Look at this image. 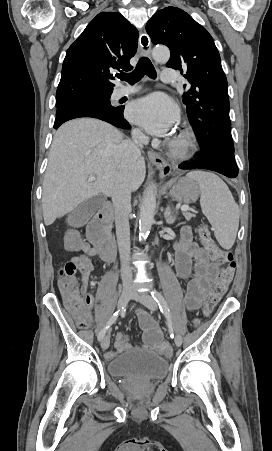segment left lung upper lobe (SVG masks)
Wrapping results in <instances>:
<instances>
[{
  "mask_svg": "<svg viewBox=\"0 0 272 451\" xmlns=\"http://www.w3.org/2000/svg\"><path fill=\"white\" fill-rule=\"evenodd\" d=\"M153 44L169 47L166 66L186 71L191 88L184 93L188 119L202 141V151H216L234 157L229 118L227 79L219 52L208 31L185 11L166 7L157 11L146 24ZM186 86V85H184Z\"/></svg>",
  "mask_w": 272,
  "mask_h": 451,
  "instance_id": "1",
  "label": "left lung upper lobe"
}]
</instances>
